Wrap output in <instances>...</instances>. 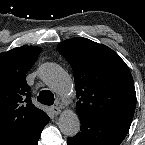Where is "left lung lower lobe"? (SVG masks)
Segmentation results:
<instances>
[{"label":"left lung lower lobe","mask_w":145,"mask_h":145,"mask_svg":"<svg viewBox=\"0 0 145 145\" xmlns=\"http://www.w3.org/2000/svg\"><path fill=\"white\" fill-rule=\"evenodd\" d=\"M80 132L68 138V145H119L130 128L131 119L79 116Z\"/></svg>","instance_id":"left-lung-lower-lobe-1"}]
</instances>
